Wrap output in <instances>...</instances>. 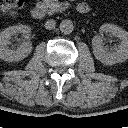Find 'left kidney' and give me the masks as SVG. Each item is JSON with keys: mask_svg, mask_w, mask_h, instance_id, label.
<instances>
[{"mask_svg": "<svg viewBox=\"0 0 128 128\" xmlns=\"http://www.w3.org/2000/svg\"><path fill=\"white\" fill-rule=\"evenodd\" d=\"M100 31L109 33L121 39V43L114 48V51L107 52L103 46L100 36H94L92 39V48L94 56L97 60L105 65H113L122 63L128 59V32L114 24H103Z\"/></svg>", "mask_w": 128, "mask_h": 128, "instance_id": "left-kidney-1", "label": "left kidney"}]
</instances>
